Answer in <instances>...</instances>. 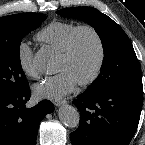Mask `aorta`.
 <instances>
[{"label": "aorta", "mask_w": 145, "mask_h": 145, "mask_svg": "<svg viewBox=\"0 0 145 145\" xmlns=\"http://www.w3.org/2000/svg\"><path fill=\"white\" fill-rule=\"evenodd\" d=\"M37 67L44 71H49L53 64L54 58L50 51L39 50L34 57ZM58 116L60 121L69 128H77L80 123V114L76 108L70 105H64L59 109Z\"/></svg>", "instance_id": "obj_1"}]
</instances>
